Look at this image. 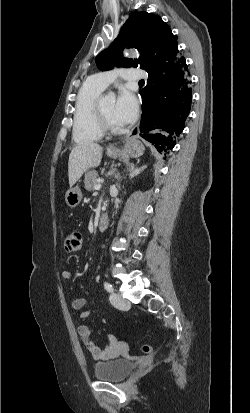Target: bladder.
I'll return each mask as SVG.
<instances>
[{"mask_svg":"<svg viewBox=\"0 0 250 413\" xmlns=\"http://www.w3.org/2000/svg\"><path fill=\"white\" fill-rule=\"evenodd\" d=\"M134 369V363L127 358H117L94 365V376L98 380L119 382L127 378Z\"/></svg>","mask_w":250,"mask_h":413,"instance_id":"1","label":"bladder"}]
</instances>
